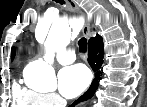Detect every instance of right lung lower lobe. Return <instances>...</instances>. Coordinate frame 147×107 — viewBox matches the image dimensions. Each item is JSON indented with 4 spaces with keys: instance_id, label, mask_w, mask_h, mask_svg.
<instances>
[{
    "instance_id": "1",
    "label": "right lung lower lobe",
    "mask_w": 147,
    "mask_h": 107,
    "mask_svg": "<svg viewBox=\"0 0 147 107\" xmlns=\"http://www.w3.org/2000/svg\"><path fill=\"white\" fill-rule=\"evenodd\" d=\"M103 53L104 47L102 38L99 35L94 38H91L88 42V63L95 73V78L89 89L76 102H74L72 106L77 104L78 102L90 99L94 95L98 87L99 80L101 79Z\"/></svg>"
}]
</instances>
